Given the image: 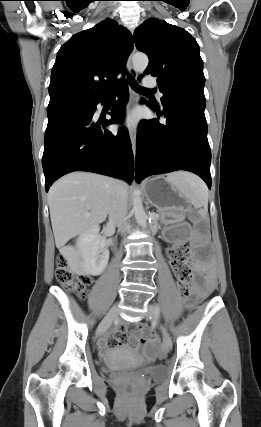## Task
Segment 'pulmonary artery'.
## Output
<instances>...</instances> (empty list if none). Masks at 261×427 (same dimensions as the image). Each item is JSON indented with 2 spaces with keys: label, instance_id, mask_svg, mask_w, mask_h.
Masks as SVG:
<instances>
[{
  "label": "pulmonary artery",
  "instance_id": "1",
  "mask_svg": "<svg viewBox=\"0 0 261 427\" xmlns=\"http://www.w3.org/2000/svg\"><path fill=\"white\" fill-rule=\"evenodd\" d=\"M143 85L147 88H157L158 87L156 80L153 78H145L143 81ZM157 95L159 98H161L163 94L161 91L158 90Z\"/></svg>",
  "mask_w": 261,
  "mask_h": 427
}]
</instances>
